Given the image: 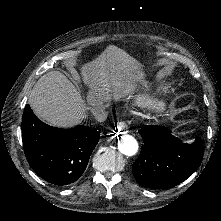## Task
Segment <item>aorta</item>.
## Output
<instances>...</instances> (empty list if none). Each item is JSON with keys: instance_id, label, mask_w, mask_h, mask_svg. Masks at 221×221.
Returning a JSON list of instances; mask_svg holds the SVG:
<instances>
[{"instance_id": "1", "label": "aorta", "mask_w": 221, "mask_h": 221, "mask_svg": "<svg viewBox=\"0 0 221 221\" xmlns=\"http://www.w3.org/2000/svg\"><path fill=\"white\" fill-rule=\"evenodd\" d=\"M118 149L126 156H133L138 151V142L133 136L124 134L118 139Z\"/></svg>"}]
</instances>
